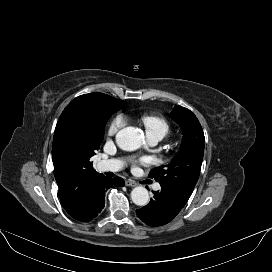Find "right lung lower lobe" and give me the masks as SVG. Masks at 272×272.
I'll list each match as a JSON object with an SVG mask.
<instances>
[{
    "label": "right lung lower lobe",
    "instance_id": "right-lung-lower-lobe-1",
    "mask_svg": "<svg viewBox=\"0 0 272 272\" xmlns=\"http://www.w3.org/2000/svg\"><path fill=\"white\" fill-rule=\"evenodd\" d=\"M124 180L120 177L101 178L95 185L94 196L87 208L79 215L73 217L78 221H90L95 218L103 209L105 204V192L115 186H124Z\"/></svg>",
    "mask_w": 272,
    "mask_h": 272
}]
</instances>
